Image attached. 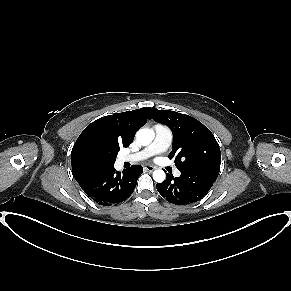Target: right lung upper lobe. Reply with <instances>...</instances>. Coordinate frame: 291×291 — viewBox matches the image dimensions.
<instances>
[{"instance_id":"1","label":"right lung upper lobe","mask_w":291,"mask_h":291,"mask_svg":"<svg viewBox=\"0 0 291 291\" xmlns=\"http://www.w3.org/2000/svg\"><path fill=\"white\" fill-rule=\"evenodd\" d=\"M154 108L144 107L133 111L104 116L89 124L79 135L71 152L72 174L79 183L84 179L110 169L105 165L92 163L89 153L100 148L107 153H118L128 147L136 131L141 128ZM112 168V167H111Z\"/></svg>"}]
</instances>
